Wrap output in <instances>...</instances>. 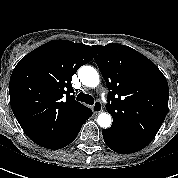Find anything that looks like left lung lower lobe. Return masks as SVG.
I'll use <instances>...</instances> for the list:
<instances>
[{
  "mask_svg": "<svg viewBox=\"0 0 178 178\" xmlns=\"http://www.w3.org/2000/svg\"><path fill=\"white\" fill-rule=\"evenodd\" d=\"M102 134L107 146L113 151L121 154L134 153L148 145L147 143L121 134L112 128L104 129Z\"/></svg>",
  "mask_w": 178,
  "mask_h": 178,
  "instance_id": "1",
  "label": "left lung lower lobe"
}]
</instances>
